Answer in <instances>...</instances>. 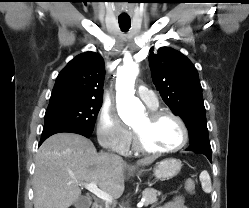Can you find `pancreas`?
Listing matches in <instances>:
<instances>
[{"instance_id":"pancreas-1","label":"pancreas","mask_w":249,"mask_h":208,"mask_svg":"<svg viewBox=\"0 0 249 208\" xmlns=\"http://www.w3.org/2000/svg\"><path fill=\"white\" fill-rule=\"evenodd\" d=\"M142 195L145 198L144 205L148 206V205L156 203L158 201L157 196L161 195V192H159L153 188H146L142 192ZM105 208H110V207L108 204H106Z\"/></svg>"}]
</instances>
